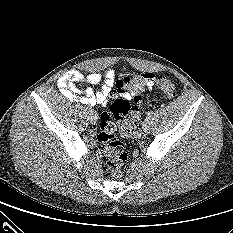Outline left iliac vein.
<instances>
[{"label":"left iliac vein","mask_w":233,"mask_h":233,"mask_svg":"<svg viewBox=\"0 0 233 233\" xmlns=\"http://www.w3.org/2000/svg\"><path fill=\"white\" fill-rule=\"evenodd\" d=\"M142 128H143L144 132H149L150 131V129H151V121H150V119H146L145 120V122L143 123Z\"/></svg>","instance_id":"4c4485c4"}]
</instances>
